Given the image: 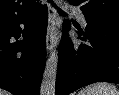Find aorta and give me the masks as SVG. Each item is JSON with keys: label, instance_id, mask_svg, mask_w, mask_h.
Segmentation results:
<instances>
[{"label": "aorta", "instance_id": "aorta-1", "mask_svg": "<svg viewBox=\"0 0 119 95\" xmlns=\"http://www.w3.org/2000/svg\"><path fill=\"white\" fill-rule=\"evenodd\" d=\"M58 68V52L53 50L46 61L40 95H55L56 75Z\"/></svg>", "mask_w": 119, "mask_h": 95}]
</instances>
